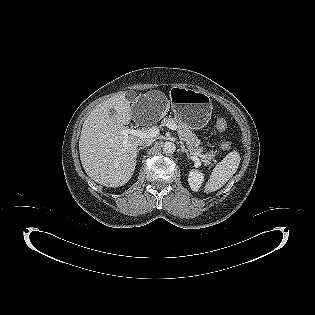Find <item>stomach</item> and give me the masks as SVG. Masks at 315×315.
<instances>
[{
	"label": "stomach",
	"instance_id": "obj_1",
	"mask_svg": "<svg viewBox=\"0 0 315 315\" xmlns=\"http://www.w3.org/2000/svg\"><path fill=\"white\" fill-rule=\"evenodd\" d=\"M169 97L174 115L190 129H201L211 119L212 102L205 92L172 87Z\"/></svg>",
	"mask_w": 315,
	"mask_h": 315
}]
</instances>
